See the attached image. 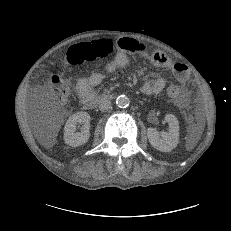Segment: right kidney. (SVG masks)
<instances>
[{"label":"right kidney","mask_w":231,"mask_h":231,"mask_svg":"<svg viewBox=\"0 0 231 231\" xmlns=\"http://www.w3.org/2000/svg\"><path fill=\"white\" fill-rule=\"evenodd\" d=\"M90 115L87 112H77L67 120L64 126V141L72 147L85 144L90 137ZM82 124L81 132L76 131V125Z\"/></svg>","instance_id":"1"}]
</instances>
